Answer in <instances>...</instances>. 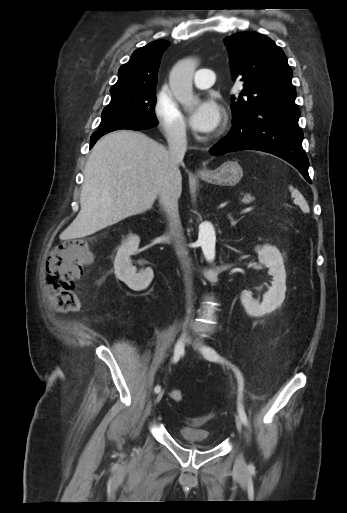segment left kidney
Instances as JSON below:
<instances>
[{
  "label": "left kidney",
  "mask_w": 347,
  "mask_h": 513,
  "mask_svg": "<svg viewBox=\"0 0 347 513\" xmlns=\"http://www.w3.org/2000/svg\"><path fill=\"white\" fill-rule=\"evenodd\" d=\"M255 250L259 262L268 267L269 274L273 276L272 287L264 294L262 303L255 300L247 290L241 293V302L248 315L260 317L272 313L282 305L286 292V271L283 257L275 246L265 244Z\"/></svg>",
  "instance_id": "5707ae66"
}]
</instances>
